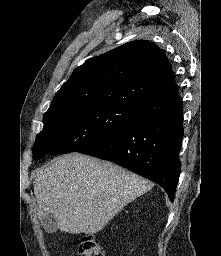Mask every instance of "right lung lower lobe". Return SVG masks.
I'll list each match as a JSON object with an SVG mask.
<instances>
[{
    "instance_id": "1",
    "label": "right lung lower lobe",
    "mask_w": 221,
    "mask_h": 256,
    "mask_svg": "<svg viewBox=\"0 0 221 256\" xmlns=\"http://www.w3.org/2000/svg\"><path fill=\"white\" fill-rule=\"evenodd\" d=\"M183 132L180 105L123 125L77 152L112 161L155 181L173 201Z\"/></svg>"
}]
</instances>
